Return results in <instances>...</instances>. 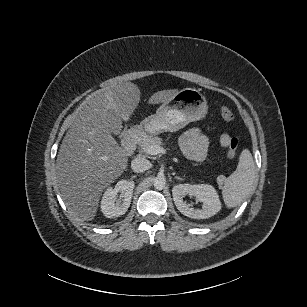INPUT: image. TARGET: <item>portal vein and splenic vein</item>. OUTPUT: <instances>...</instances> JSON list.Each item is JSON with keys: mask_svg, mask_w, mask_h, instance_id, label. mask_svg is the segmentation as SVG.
Returning a JSON list of instances; mask_svg holds the SVG:
<instances>
[{"mask_svg": "<svg viewBox=\"0 0 307 307\" xmlns=\"http://www.w3.org/2000/svg\"><path fill=\"white\" fill-rule=\"evenodd\" d=\"M159 153L165 154L166 150L159 145L150 146L148 149V154L150 155H157Z\"/></svg>", "mask_w": 307, "mask_h": 307, "instance_id": "obj_1", "label": "portal vein and splenic vein"}]
</instances>
